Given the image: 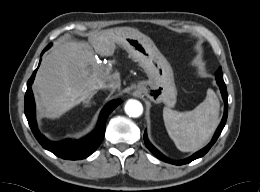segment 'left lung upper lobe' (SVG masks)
I'll list each match as a JSON object with an SVG mask.
<instances>
[{
  "instance_id": "1",
  "label": "left lung upper lobe",
  "mask_w": 260,
  "mask_h": 192,
  "mask_svg": "<svg viewBox=\"0 0 260 192\" xmlns=\"http://www.w3.org/2000/svg\"><path fill=\"white\" fill-rule=\"evenodd\" d=\"M216 79H223L221 67L216 71Z\"/></svg>"
}]
</instances>
